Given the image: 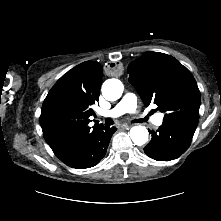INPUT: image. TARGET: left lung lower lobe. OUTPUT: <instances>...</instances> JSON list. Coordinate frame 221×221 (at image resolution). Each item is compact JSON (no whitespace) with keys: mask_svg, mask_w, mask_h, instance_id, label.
I'll use <instances>...</instances> for the list:
<instances>
[{"mask_svg":"<svg viewBox=\"0 0 221 221\" xmlns=\"http://www.w3.org/2000/svg\"><path fill=\"white\" fill-rule=\"evenodd\" d=\"M198 121H163L159 129L152 133L151 141L144 152L157 161L177 159L188 148L196 130Z\"/></svg>","mask_w":221,"mask_h":221,"instance_id":"0a47b994","label":"left lung lower lobe"}]
</instances>
